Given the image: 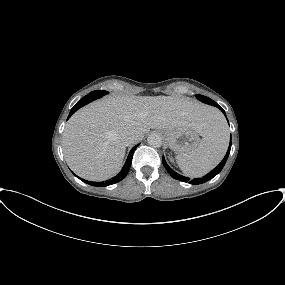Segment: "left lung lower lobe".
Instances as JSON below:
<instances>
[{"label":"left lung lower lobe","mask_w":285,"mask_h":285,"mask_svg":"<svg viewBox=\"0 0 285 285\" xmlns=\"http://www.w3.org/2000/svg\"><path fill=\"white\" fill-rule=\"evenodd\" d=\"M217 107L225 114V111L219 106L217 105ZM230 149H231V143L229 145V148H228V151L225 155V157L223 158V160L221 161V163L216 167L214 168L211 172H209L208 174H206L205 176H203L202 178H195V179H192L190 180V178L188 177H185V176H182L178 173H176L174 170H172L168 164L166 163L165 161V158L163 156L162 158V162H163V165L164 167L166 168V170L168 171V173L174 178V179H177V180H180V181H183V182H188L190 184H194V185H197V184H202V183H205L207 181H209L210 179H212L213 177H215L224 167L227 159H228V156H229V153H230Z\"/></svg>","instance_id":"left-lung-lower-lobe-1"}]
</instances>
